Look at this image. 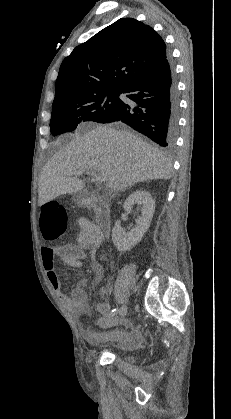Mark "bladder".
<instances>
[{
  "instance_id": "obj_1",
  "label": "bladder",
  "mask_w": 231,
  "mask_h": 419,
  "mask_svg": "<svg viewBox=\"0 0 231 419\" xmlns=\"http://www.w3.org/2000/svg\"><path fill=\"white\" fill-rule=\"evenodd\" d=\"M119 358L126 364H134L136 362V358L128 354H120Z\"/></svg>"
}]
</instances>
